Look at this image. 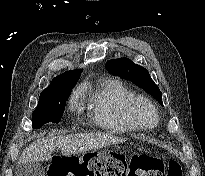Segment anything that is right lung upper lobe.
<instances>
[{
	"mask_svg": "<svg viewBox=\"0 0 205 176\" xmlns=\"http://www.w3.org/2000/svg\"><path fill=\"white\" fill-rule=\"evenodd\" d=\"M82 69L66 71L53 78L48 88L44 89L40 96L58 92L63 89L73 88L80 78Z\"/></svg>",
	"mask_w": 205,
	"mask_h": 176,
	"instance_id": "right-lung-upper-lobe-1",
	"label": "right lung upper lobe"
}]
</instances>
